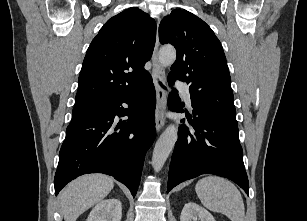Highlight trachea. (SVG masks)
I'll list each match as a JSON object with an SVG mask.
<instances>
[{
	"instance_id": "1",
	"label": "trachea",
	"mask_w": 307,
	"mask_h": 221,
	"mask_svg": "<svg viewBox=\"0 0 307 221\" xmlns=\"http://www.w3.org/2000/svg\"><path fill=\"white\" fill-rule=\"evenodd\" d=\"M159 84H160L163 88H165V86H164L161 82H159Z\"/></svg>"
}]
</instances>
